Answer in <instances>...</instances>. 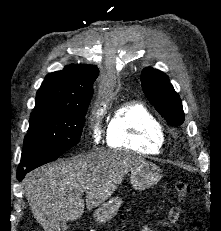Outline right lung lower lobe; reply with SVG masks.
<instances>
[{
    "label": "right lung lower lobe",
    "instance_id": "right-lung-lower-lobe-1",
    "mask_svg": "<svg viewBox=\"0 0 221 231\" xmlns=\"http://www.w3.org/2000/svg\"><path fill=\"white\" fill-rule=\"evenodd\" d=\"M60 155H62V154H60ZM60 155L49 156V157H45V158L36 160L27 166H19L18 171H17V179L19 181H22L24 179V176L28 172H30L31 170H33V169H35V168H37L43 164H46L48 162H51V161L57 159Z\"/></svg>",
    "mask_w": 221,
    "mask_h": 231
}]
</instances>
